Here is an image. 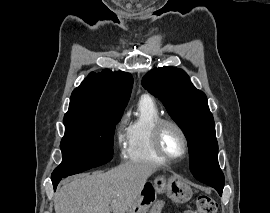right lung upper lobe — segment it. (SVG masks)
I'll return each mask as SVG.
<instances>
[{"mask_svg":"<svg viewBox=\"0 0 270 213\" xmlns=\"http://www.w3.org/2000/svg\"><path fill=\"white\" fill-rule=\"evenodd\" d=\"M132 76L122 71L105 69L91 72L70 97L69 110L64 119L109 117L122 113L132 88Z\"/></svg>","mask_w":270,"mask_h":213,"instance_id":"cb5924a9","label":"right lung upper lobe"}]
</instances>
